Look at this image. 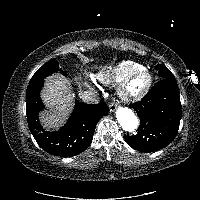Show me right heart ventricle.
<instances>
[{"instance_id":"1","label":"right heart ventricle","mask_w":200,"mask_h":200,"mask_svg":"<svg viewBox=\"0 0 200 200\" xmlns=\"http://www.w3.org/2000/svg\"><path fill=\"white\" fill-rule=\"evenodd\" d=\"M142 68H144L143 65L138 62L132 60H123L102 69L96 75V81L102 85H118L133 72Z\"/></svg>"}]
</instances>
